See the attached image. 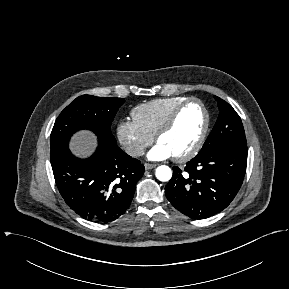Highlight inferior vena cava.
<instances>
[{
    "instance_id": "1",
    "label": "inferior vena cava",
    "mask_w": 289,
    "mask_h": 289,
    "mask_svg": "<svg viewBox=\"0 0 289 289\" xmlns=\"http://www.w3.org/2000/svg\"><path fill=\"white\" fill-rule=\"evenodd\" d=\"M126 153L132 157H139L143 155L144 150L141 147L129 146L126 148Z\"/></svg>"
}]
</instances>
